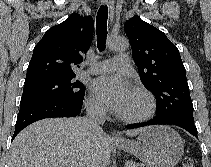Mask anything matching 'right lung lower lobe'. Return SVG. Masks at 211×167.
I'll return each mask as SVG.
<instances>
[{"mask_svg": "<svg viewBox=\"0 0 211 167\" xmlns=\"http://www.w3.org/2000/svg\"><path fill=\"white\" fill-rule=\"evenodd\" d=\"M84 96L77 101H42L20 105L15 132L17 134L29 124L51 117H75L80 114Z\"/></svg>", "mask_w": 211, "mask_h": 167, "instance_id": "98d812e1", "label": "right lung lower lobe"}]
</instances>
